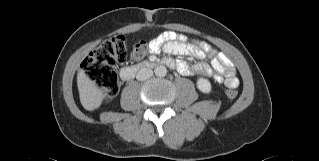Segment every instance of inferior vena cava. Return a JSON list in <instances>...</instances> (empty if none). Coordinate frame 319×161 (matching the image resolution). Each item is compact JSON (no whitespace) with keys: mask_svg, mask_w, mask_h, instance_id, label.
Segmentation results:
<instances>
[{"mask_svg":"<svg viewBox=\"0 0 319 161\" xmlns=\"http://www.w3.org/2000/svg\"><path fill=\"white\" fill-rule=\"evenodd\" d=\"M153 75V71L149 68H142L137 72L136 79L144 81L149 79Z\"/></svg>","mask_w":319,"mask_h":161,"instance_id":"1","label":"inferior vena cava"}]
</instances>
